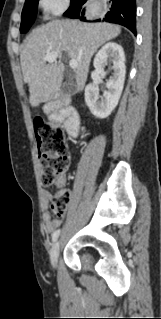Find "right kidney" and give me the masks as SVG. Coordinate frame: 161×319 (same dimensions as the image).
Wrapping results in <instances>:
<instances>
[{
    "label": "right kidney",
    "mask_w": 161,
    "mask_h": 319,
    "mask_svg": "<svg viewBox=\"0 0 161 319\" xmlns=\"http://www.w3.org/2000/svg\"><path fill=\"white\" fill-rule=\"evenodd\" d=\"M112 62L111 69L114 71L106 83L107 91L102 96L99 95L97 85H88L85 88V102L91 113L100 119L107 118L117 106L122 94L126 67L123 48L114 42L105 44L94 58V68L91 77L97 83L104 74V66L107 62Z\"/></svg>",
    "instance_id": "right-kidney-1"
}]
</instances>
